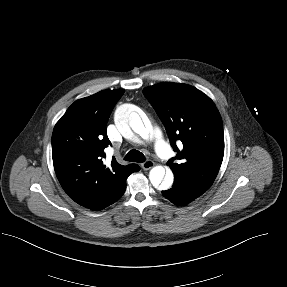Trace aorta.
Segmentation results:
<instances>
[{
    "instance_id": "762f6f07",
    "label": "aorta",
    "mask_w": 287,
    "mask_h": 287,
    "mask_svg": "<svg viewBox=\"0 0 287 287\" xmlns=\"http://www.w3.org/2000/svg\"><path fill=\"white\" fill-rule=\"evenodd\" d=\"M115 122L119 129H127L128 126L139 134L142 138L148 137L149 131L152 129L151 123L148 118H144L143 121L138 113L131 112L127 107H121L115 114ZM144 122V123H143ZM149 179L152 185L161 190H168L174 180L172 171L165 169L162 166H155L150 170Z\"/></svg>"
}]
</instances>
